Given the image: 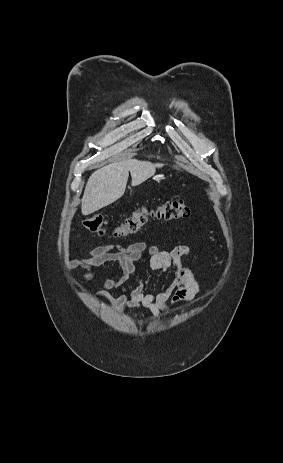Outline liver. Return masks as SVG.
Returning a JSON list of instances; mask_svg holds the SVG:
<instances>
[{
    "label": "liver",
    "instance_id": "1",
    "mask_svg": "<svg viewBox=\"0 0 283 463\" xmlns=\"http://www.w3.org/2000/svg\"><path fill=\"white\" fill-rule=\"evenodd\" d=\"M163 164L130 159L113 162L94 171L85 187L82 197L81 211L89 215L112 204L121 198L125 192L129 172L132 186H137L153 176L156 168Z\"/></svg>",
    "mask_w": 283,
    "mask_h": 463
}]
</instances>
